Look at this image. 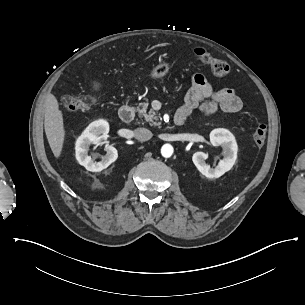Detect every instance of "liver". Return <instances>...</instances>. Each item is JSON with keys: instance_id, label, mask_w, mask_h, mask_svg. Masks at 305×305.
Segmentation results:
<instances>
[{"instance_id": "1", "label": "liver", "mask_w": 305, "mask_h": 305, "mask_svg": "<svg viewBox=\"0 0 305 305\" xmlns=\"http://www.w3.org/2000/svg\"><path fill=\"white\" fill-rule=\"evenodd\" d=\"M45 131L55 158L60 159L67 131L63 111L60 110V103L54 94H49L45 99Z\"/></svg>"}]
</instances>
